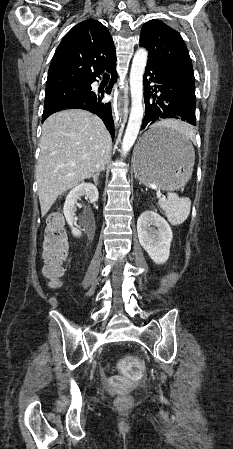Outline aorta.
Here are the masks:
<instances>
[{"mask_svg":"<svg viewBox=\"0 0 233 449\" xmlns=\"http://www.w3.org/2000/svg\"><path fill=\"white\" fill-rule=\"evenodd\" d=\"M147 56V51L140 48L136 51L132 61L130 72L131 112L122 141V154L124 156L133 146L142 124L143 74L147 63Z\"/></svg>","mask_w":233,"mask_h":449,"instance_id":"obj_1","label":"aorta"}]
</instances>
